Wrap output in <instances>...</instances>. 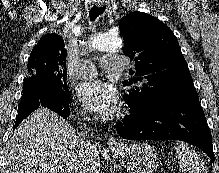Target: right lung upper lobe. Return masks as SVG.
<instances>
[{"label":"right lung upper lobe","instance_id":"right-lung-upper-lobe-1","mask_svg":"<svg viewBox=\"0 0 219 173\" xmlns=\"http://www.w3.org/2000/svg\"><path fill=\"white\" fill-rule=\"evenodd\" d=\"M64 40L55 33L44 35L33 48L29 61L58 64L66 70Z\"/></svg>","mask_w":219,"mask_h":173}]
</instances>
